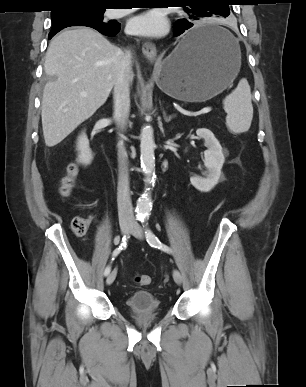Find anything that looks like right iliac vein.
<instances>
[{
  "instance_id": "63e3f726",
  "label": "right iliac vein",
  "mask_w": 306,
  "mask_h": 387,
  "mask_svg": "<svg viewBox=\"0 0 306 387\" xmlns=\"http://www.w3.org/2000/svg\"><path fill=\"white\" fill-rule=\"evenodd\" d=\"M132 228V224L129 223V222H122L120 223V229H121V232L123 234H128L129 231L131 230ZM116 275H117V271L116 270H113L111 273H109L107 279H106V284L107 285H110L114 282L115 278H116Z\"/></svg>"
}]
</instances>
